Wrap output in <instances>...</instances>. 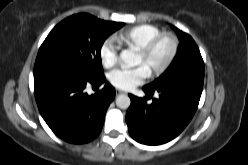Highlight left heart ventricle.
Masks as SVG:
<instances>
[{
    "instance_id": "left-heart-ventricle-1",
    "label": "left heart ventricle",
    "mask_w": 248,
    "mask_h": 165,
    "mask_svg": "<svg viewBox=\"0 0 248 165\" xmlns=\"http://www.w3.org/2000/svg\"><path fill=\"white\" fill-rule=\"evenodd\" d=\"M168 51H169L168 43L163 42L156 48L154 53L149 58H146L141 53H139L137 64H140V65L144 64L151 71L154 66L158 65L165 59Z\"/></svg>"
}]
</instances>
